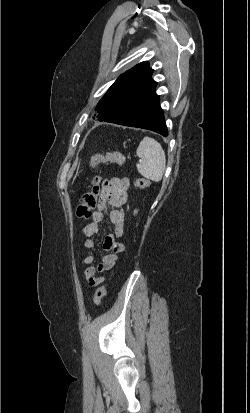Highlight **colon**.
I'll return each mask as SVG.
<instances>
[{
    "label": "colon",
    "instance_id": "1",
    "mask_svg": "<svg viewBox=\"0 0 250 413\" xmlns=\"http://www.w3.org/2000/svg\"><path fill=\"white\" fill-rule=\"evenodd\" d=\"M126 159L120 153H108V154H96L91 158L90 164L92 168H95L100 163H115L118 165L125 164ZM138 188H146L150 185V182L145 178H138L134 182ZM101 196V178L99 175L94 174L91 178V190L84 194L82 202L76 209V214L79 218H89L92 211L96 208L99 198ZM106 293V287L104 285L98 287L94 294V303L99 306Z\"/></svg>",
    "mask_w": 250,
    "mask_h": 413
}]
</instances>
